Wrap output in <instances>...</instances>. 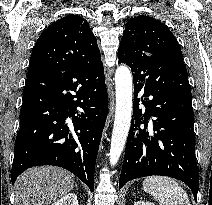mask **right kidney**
Returning <instances> with one entry per match:
<instances>
[{
	"instance_id": "obj_1",
	"label": "right kidney",
	"mask_w": 212,
	"mask_h": 205,
	"mask_svg": "<svg viewBox=\"0 0 212 205\" xmlns=\"http://www.w3.org/2000/svg\"><path fill=\"white\" fill-rule=\"evenodd\" d=\"M52 205H78L77 196L74 193L66 194Z\"/></svg>"
}]
</instances>
